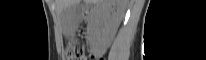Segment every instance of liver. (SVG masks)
<instances>
[{
	"instance_id": "obj_1",
	"label": "liver",
	"mask_w": 206,
	"mask_h": 60,
	"mask_svg": "<svg viewBox=\"0 0 206 60\" xmlns=\"http://www.w3.org/2000/svg\"><path fill=\"white\" fill-rule=\"evenodd\" d=\"M75 1L81 2L83 1L85 4L97 3L99 0H55L56 9L58 14H60L65 8L74 4ZM101 1V0H100ZM102 3L110 4L109 0H102ZM127 0H115L114 6L115 10L111 12L112 19V35H114L122 21L125 8H126Z\"/></svg>"
}]
</instances>
